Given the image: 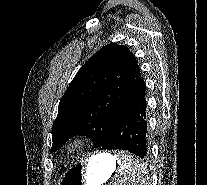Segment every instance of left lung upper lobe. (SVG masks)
<instances>
[{
	"label": "left lung upper lobe",
	"mask_w": 207,
	"mask_h": 185,
	"mask_svg": "<svg viewBox=\"0 0 207 185\" xmlns=\"http://www.w3.org/2000/svg\"><path fill=\"white\" fill-rule=\"evenodd\" d=\"M145 88L139 65L125 46L102 47L80 68L59 103L50 152L75 135L87 136L101 149L119 113Z\"/></svg>",
	"instance_id": "obj_1"
}]
</instances>
